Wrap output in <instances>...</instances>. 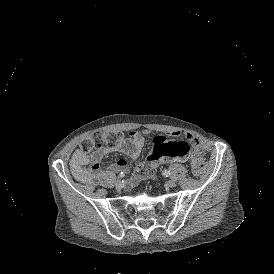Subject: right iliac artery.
I'll list each match as a JSON object with an SVG mask.
<instances>
[{"mask_svg": "<svg viewBox=\"0 0 274 274\" xmlns=\"http://www.w3.org/2000/svg\"><path fill=\"white\" fill-rule=\"evenodd\" d=\"M125 176V173L124 172H121L120 174H119V177L120 178H123Z\"/></svg>", "mask_w": 274, "mask_h": 274, "instance_id": "82829eb1", "label": "right iliac artery"}]
</instances>
